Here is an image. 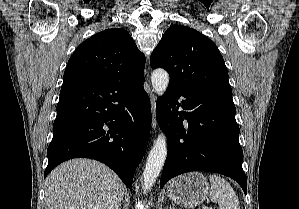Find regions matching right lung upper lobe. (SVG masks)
Here are the masks:
<instances>
[{"label": "right lung upper lobe", "instance_id": "right-lung-upper-lobe-1", "mask_svg": "<svg viewBox=\"0 0 299 209\" xmlns=\"http://www.w3.org/2000/svg\"><path fill=\"white\" fill-rule=\"evenodd\" d=\"M145 56L127 31L112 28L81 43L71 55L62 87L123 81L134 86L144 81Z\"/></svg>", "mask_w": 299, "mask_h": 209}]
</instances>
